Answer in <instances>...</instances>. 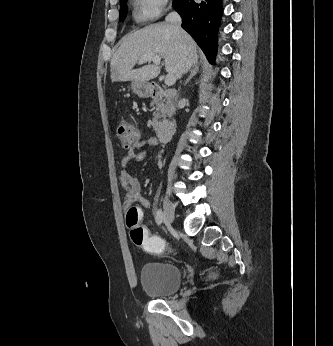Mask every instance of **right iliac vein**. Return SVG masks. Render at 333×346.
<instances>
[{
  "label": "right iliac vein",
  "instance_id": "obj_1",
  "mask_svg": "<svg viewBox=\"0 0 333 346\" xmlns=\"http://www.w3.org/2000/svg\"><path fill=\"white\" fill-rule=\"evenodd\" d=\"M163 210L165 223L171 225L174 221V207L170 199L167 197L164 199Z\"/></svg>",
  "mask_w": 333,
  "mask_h": 346
}]
</instances>
